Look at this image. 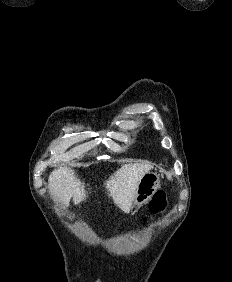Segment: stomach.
I'll return each instance as SVG.
<instances>
[{"label":"stomach","mask_w":232,"mask_h":282,"mask_svg":"<svg viewBox=\"0 0 232 282\" xmlns=\"http://www.w3.org/2000/svg\"><path fill=\"white\" fill-rule=\"evenodd\" d=\"M160 188V178L155 172H147L141 178L134 198V206L141 207L146 204Z\"/></svg>","instance_id":"1"}]
</instances>
